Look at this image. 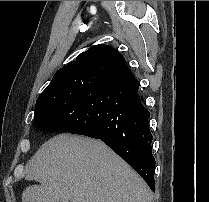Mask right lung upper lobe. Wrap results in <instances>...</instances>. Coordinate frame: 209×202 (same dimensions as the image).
<instances>
[{
	"instance_id": "1",
	"label": "right lung upper lobe",
	"mask_w": 209,
	"mask_h": 202,
	"mask_svg": "<svg viewBox=\"0 0 209 202\" xmlns=\"http://www.w3.org/2000/svg\"><path fill=\"white\" fill-rule=\"evenodd\" d=\"M126 65L124 57L117 50L111 46L100 44L92 46L81 53L75 61L59 69L53 79L80 73L89 74L94 78L111 70L122 69Z\"/></svg>"
}]
</instances>
